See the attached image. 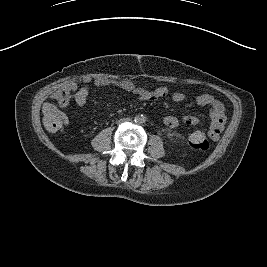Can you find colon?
Instances as JSON below:
<instances>
[{
  "mask_svg": "<svg viewBox=\"0 0 267 267\" xmlns=\"http://www.w3.org/2000/svg\"><path fill=\"white\" fill-rule=\"evenodd\" d=\"M43 122L47 130L56 132L66 123L65 115L53 103H45L42 107ZM190 144L197 150H207L210 147L208 137L203 132L195 133L190 138Z\"/></svg>",
  "mask_w": 267,
  "mask_h": 267,
  "instance_id": "colon-1",
  "label": "colon"
}]
</instances>
